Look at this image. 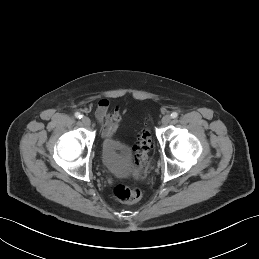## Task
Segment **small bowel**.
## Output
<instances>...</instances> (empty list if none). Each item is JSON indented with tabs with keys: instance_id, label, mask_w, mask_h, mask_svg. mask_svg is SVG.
I'll return each mask as SVG.
<instances>
[{
	"instance_id": "1",
	"label": "small bowel",
	"mask_w": 259,
	"mask_h": 259,
	"mask_svg": "<svg viewBox=\"0 0 259 259\" xmlns=\"http://www.w3.org/2000/svg\"><path fill=\"white\" fill-rule=\"evenodd\" d=\"M95 115L100 124L102 136L105 138L113 137L121 120L120 110L111 111L109 101L102 98L98 101Z\"/></svg>"
}]
</instances>
